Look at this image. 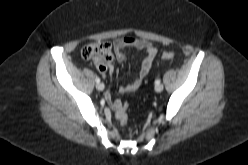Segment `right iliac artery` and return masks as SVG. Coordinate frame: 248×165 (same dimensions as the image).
Listing matches in <instances>:
<instances>
[{
	"mask_svg": "<svg viewBox=\"0 0 248 165\" xmlns=\"http://www.w3.org/2000/svg\"><path fill=\"white\" fill-rule=\"evenodd\" d=\"M95 81H96L97 83H99V82H100V79H99L98 77H96Z\"/></svg>",
	"mask_w": 248,
	"mask_h": 165,
	"instance_id": "right-iliac-artery-1",
	"label": "right iliac artery"
}]
</instances>
